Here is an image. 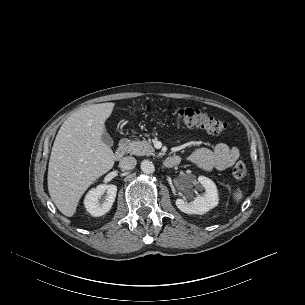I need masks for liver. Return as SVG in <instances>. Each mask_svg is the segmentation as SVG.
<instances>
[{"instance_id":"obj_1","label":"liver","mask_w":305,"mask_h":305,"mask_svg":"<svg viewBox=\"0 0 305 305\" xmlns=\"http://www.w3.org/2000/svg\"><path fill=\"white\" fill-rule=\"evenodd\" d=\"M115 103L85 107L64 121L55 138L48 166V191L58 210L72 217L88 187L114 165L112 149L101 136Z\"/></svg>"}]
</instances>
